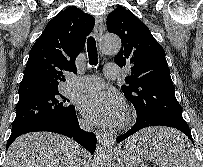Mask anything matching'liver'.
<instances>
[{"label":"liver","mask_w":203,"mask_h":167,"mask_svg":"<svg viewBox=\"0 0 203 167\" xmlns=\"http://www.w3.org/2000/svg\"><path fill=\"white\" fill-rule=\"evenodd\" d=\"M162 130L170 138L180 135L171 129ZM150 133L144 137L133 136L127 143H139L155 135L154 131ZM82 153L80 146L70 138L45 132L28 133L11 144L4 167H82Z\"/></svg>","instance_id":"1"}]
</instances>
